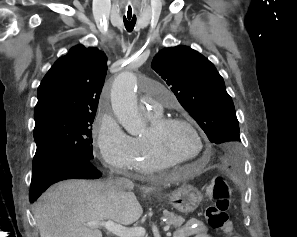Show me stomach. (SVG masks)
Here are the masks:
<instances>
[{
	"label": "stomach",
	"mask_w": 297,
	"mask_h": 237,
	"mask_svg": "<svg viewBox=\"0 0 297 237\" xmlns=\"http://www.w3.org/2000/svg\"><path fill=\"white\" fill-rule=\"evenodd\" d=\"M172 206L182 213L196 210L202 200L201 192L191 185H182L169 196Z\"/></svg>",
	"instance_id": "1"
}]
</instances>
